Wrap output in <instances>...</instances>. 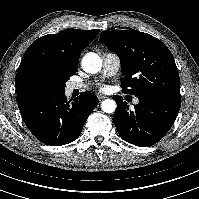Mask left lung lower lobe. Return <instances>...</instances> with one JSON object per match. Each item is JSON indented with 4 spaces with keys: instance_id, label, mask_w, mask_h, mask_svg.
<instances>
[{
    "instance_id": "left-lung-lower-lobe-1",
    "label": "left lung lower lobe",
    "mask_w": 199,
    "mask_h": 199,
    "mask_svg": "<svg viewBox=\"0 0 199 199\" xmlns=\"http://www.w3.org/2000/svg\"><path fill=\"white\" fill-rule=\"evenodd\" d=\"M139 103L130 110L122 97L114 96L117 109L113 122L122 139L136 146L159 142L172 127L181 107V98L139 95Z\"/></svg>"
}]
</instances>
